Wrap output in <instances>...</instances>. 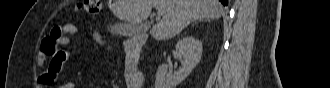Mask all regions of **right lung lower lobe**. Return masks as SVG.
<instances>
[{
    "mask_svg": "<svg viewBox=\"0 0 330 88\" xmlns=\"http://www.w3.org/2000/svg\"><path fill=\"white\" fill-rule=\"evenodd\" d=\"M224 6L228 5V0H219Z\"/></svg>",
    "mask_w": 330,
    "mask_h": 88,
    "instance_id": "right-lung-lower-lobe-1",
    "label": "right lung lower lobe"
}]
</instances>
